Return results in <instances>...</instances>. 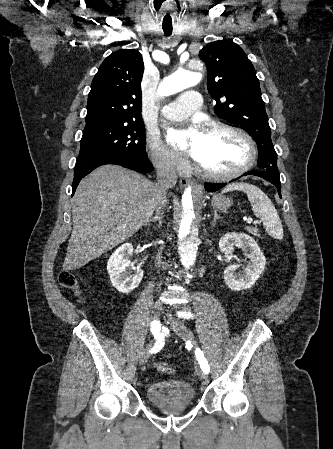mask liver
Returning <instances> with one entry per match:
<instances>
[{"mask_svg":"<svg viewBox=\"0 0 333 449\" xmlns=\"http://www.w3.org/2000/svg\"><path fill=\"white\" fill-rule=\"evenodd\" d=\"M155 184L117 165L95 169L72 199L73 231L64 265L75 269L123 243L158 206Z\"/></svg>","mask_w":333,"mask_h":449,"instance_id":"1","label":"liver"}]
</instances>
